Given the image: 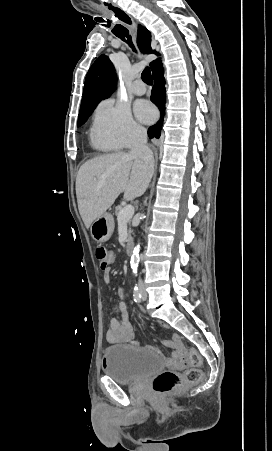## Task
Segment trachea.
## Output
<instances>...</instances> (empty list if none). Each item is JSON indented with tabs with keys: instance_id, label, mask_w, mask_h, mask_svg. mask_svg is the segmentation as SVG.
<instances>
[{
	"instance_id": "trachea-1",
	"label": "trachea",
	"mask_w": 272,
	"mask_h": 451,
	"mask_svg": "<svg viewBox=\"0 0 272 451\" xmlns=\"http://www.w3.org/2000/svg\"><path fill=\"white\" fill-rule=\"evenodd\" d=\"M122 20H123V21H126L125 19H122ZM128 22H129V20L127 21V23H128ZM114 34H115L117 37L121 38L122 40H124L125 38H127V43H128V45H130V46L133 48V50H135V49H134V46H133V44H132L131 35H129V31L127 30V28L118 25V26H117V30L114 31ZM141 78H142L143 82L147 83L148 85H152L153 80H152V76H151V73H150V69H149L148 67H146V68L143 70L142 75H141Z\"/></svg>"
}]
</instances>
